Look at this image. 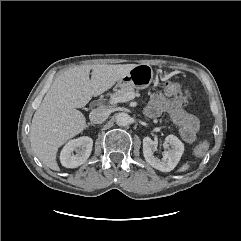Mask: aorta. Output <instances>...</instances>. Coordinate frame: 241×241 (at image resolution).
Segmentation results:
<instances>
[{
  "instance_id": "obj_1",
  "label": "aorta",
  "mask_w": 241,
  "mask_h": 241,
  "mask_svg": "<svg viewBox=\"0 0 241 241\" xmlns=\"http://www.w3.org/2000/svg\"><path fill=\"white\" fill-rule=\"evenodd\" d=\"M115 119H116L117 125L127 126L130 124L131 117L129 116L128 113L121 112L116 115Z\"/></svg>"
}]
</instances>
